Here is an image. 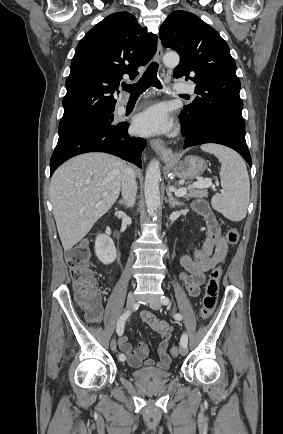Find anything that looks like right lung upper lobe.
<instances>
[{
    "mask_svg": "<svg viewBox=\"0 0 283 434\" xmlns=\"http://www.w3.org/2000/svg\"><path fill=\"white\" fill-rule=\"evenodd\" d=\"M157 36L146 33L134 15L117 12L93 27L79 42L66 80L62 119L115 109L113 93L124 74L130 79L154 56Z\"/></svg>",
    "mask_w": 283,
    "mask_h": 434,
    "instance_id": "obj_1",
    "label": "right lung upper lobe"
}]
</instances>
